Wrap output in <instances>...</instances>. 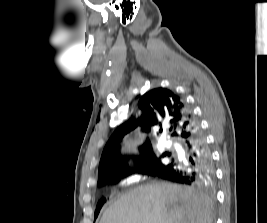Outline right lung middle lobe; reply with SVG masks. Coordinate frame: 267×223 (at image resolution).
<instances>
[{
	"mask_svg": "<svg viewBox=\"0 0 267 223\" xmlns=\"http://www.w3.org/2000/svg\"><path fill=\"white\" fill-rule=\"evenodd\" d=\"M163 157L171 156V153H164ZM173 159L172 162L173 163ZM170 163V164H171ZM169 164H163L154 153H151L146 156H141L139 162H137L138 172L145 173L148 175H157L163 168H165ZM132 171L128 169V171L124 167H116L109 169L101 178H99L98 184L99 185H106L114 182L117 179H121L124 176L131 174ZM106 202V199H101L97 204V213L95 212V218L97 217L102 205Z\"/></svg>",
	"mask_w": 267,
	"mask_h": 223,
	"instance_id": "1",
	"label": "right lung middle lobe"
}]
</instances>
